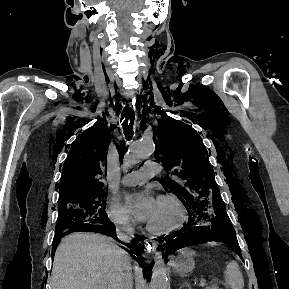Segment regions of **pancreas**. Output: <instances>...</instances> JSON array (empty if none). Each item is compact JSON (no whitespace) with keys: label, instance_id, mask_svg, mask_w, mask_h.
<instances>
[{"label":"pancreas","instance_id":"1","mask_svg":"<svg viewBox=\"0 0 289 289\" xmlns=\"http://www.w3.org/2000/svg\"><path fill=\"white\" fill-rule=\"evenodd\" d=\"M205 289H220L216 284H210Z\"/></svg>","mask_w":289,"mask_h":289}]
</instances>
